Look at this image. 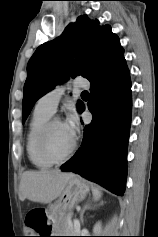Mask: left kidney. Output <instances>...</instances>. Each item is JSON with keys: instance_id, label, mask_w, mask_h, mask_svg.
Instances as JSON below:
<instances>
[{"instance_id": "1", "label": "left kidney", "mask_w": 158, "mask_h": 237, "mask_svg": "<svg viewBox=\"0 0 158 237\" xmlns=\"http://www.w3.org/2000/svg\"><path fill=\"white\" fill-rule=\"evenodd\" d=\"M101 230V226H100V222H98L95 226H94V232L95 233H100Z\"/></svg>"}]
</instances>
